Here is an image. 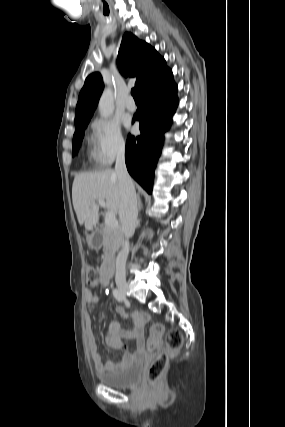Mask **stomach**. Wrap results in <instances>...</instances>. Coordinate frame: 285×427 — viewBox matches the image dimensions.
Wrapping results in <instances>:
<instances>
[{
    "label": "stomach",
    "instance_id": "1",
    "mask_svg": "<svg viewBox=\"0 0 285 427\" xmlns=\"http://www.w3.org/2000/svg\"><path fill=\"white\" fill-rule=\"evenodd\" d=\"M96 236H97V233H96V232H94L93 234H91V235H88V236H87L88 244H89L91 247H98V246H100V244H101V241H97V240H96Z\"/></svg>",
    "mask_w": 285,
    "mask_h": 427
}]
</instances>
